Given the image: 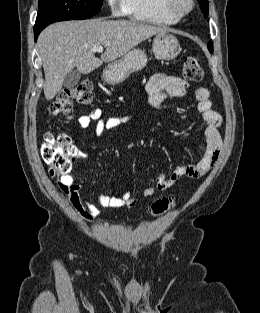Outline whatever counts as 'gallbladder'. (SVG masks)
Segmentation results:
<instances>
[{"label":"gallbladder","mask_w":260,"mask_h":313,"mask_svg":"<svg viewBox=\"0 0 260 313\" xmlns=\"http://www.w3.org/2000/svg\"><path fill=\"white\" fill-rule=\"evenodd\" d=\"M81 79V73L78 70H71L68 72L63 81V86L66 88H73Z\"/></svg>","instance_id":"obj_1"}]
</instances>
